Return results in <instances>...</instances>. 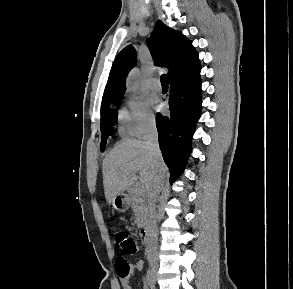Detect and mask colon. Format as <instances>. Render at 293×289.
Masks as SVG:
<instances>
[{"instance_id":"colon-1","label":"colon","mask_w":293,"mask_h":289,"mask_svg":"<svg viewBox=\"0 0 293 289\" xmlns=\"http://www.w3.org/2000/svg\"><path fill=\"white\" fill-rule=\"evenodd\" d=\"M115 242L118 247L125 253L126 255L133 256L136 255L140 248L139 244L135 239L127 235L123 231H118L115 233ZM130 271V266L126 260H121L118 264V272L121 276H126Z\"/></svg>"}]
</instances>
